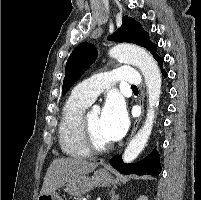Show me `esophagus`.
I'll return each mask as SVG.
<instances>
[{"mask_svg":"<svg viewBox=\"0 0 201 200\" xmlns=\"http://www.w3.org/2000/svg\"><path fill=\"white\" fill-rule=\"evenodd\" d=\"M144 95H145L144 90L141 89L140 95H139V104L142 107V112H141V115L134 120L132 131H131L129 139H131L132 136L135 134V132H136V130L138 128V125H139V123H140V121H141V119L143 117V114H144V107H143V105H144Z\"/></svg>","mask_w":201,"mask_h":200,"instance_id":"esophagus-1","label":"esophagus"}]
</instances>
